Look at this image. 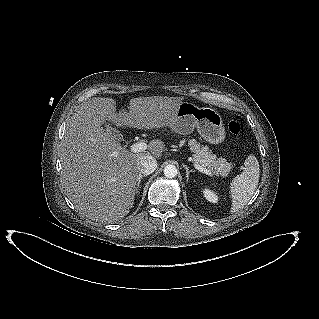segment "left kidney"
Wrapping results in <instances>:
<instances>
[{
	"mask_svg": "<svg viewBox=\"0 0 319 319\" xmlns=\"http://www.w3.org/2000/svg\"><path fill=\"white\" fill-rule=\"evenodd\" d=\"M203 194H204V197H205L209 202H212V203H217V202H218V197H217L216 194H214V192H212L211 190H209V189H204V190H203Z\"/></svg>",
	"mask_w": 319,
	"mask_h": 319,
	"instance_id": "5707ae66",
	"label": "left kidney"
}]
</instances>
